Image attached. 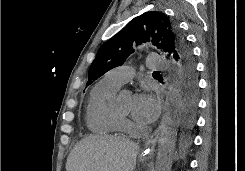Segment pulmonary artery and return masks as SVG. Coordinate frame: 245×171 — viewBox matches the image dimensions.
Listing matches in <instances>:
<instances>
[{
    "instance_id": "e3ab8cb5",
    "label": "pulmonary artery",
    "mask_w": 245,
    "mask_h": 171,
    "mask_svg": "<svg viewBox=\"0 0 245 171\" xmlns=\"http://www.w3.org/2000/svg\"><path fill=\"white\" fill-rule=\"evenodd\" d=\"M147 67L149 70L166 69L168 68V61L161 56L152 55L147 57ZM132 76V68L124 65L108 71L104 76V80L107 83L120 88L123 84L130 80Z\"/></svg>"
}]
</instances>
